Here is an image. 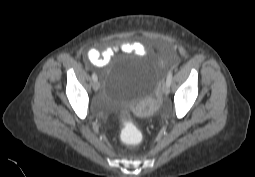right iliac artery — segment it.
Returning <instances> with one entry per match:
<instances>
[{"instance_id": "82829eb1", "label": "right iliac artery", "mask_w": 255, "mask_h": 177, "mask_svg": "<svg viewBox=\"0 0 255 177\" xmlns=\"http://www.w3.org/2000/svg\"><path fill=\"white\" fill-rule=\"evenodd\" d=\"M92 79H93L94 81H97L98 78H97V75H96L95 73L92 74Z\"/></svg>"}]
</instances>
